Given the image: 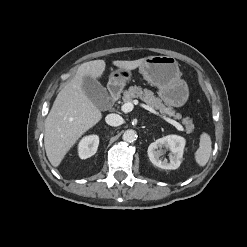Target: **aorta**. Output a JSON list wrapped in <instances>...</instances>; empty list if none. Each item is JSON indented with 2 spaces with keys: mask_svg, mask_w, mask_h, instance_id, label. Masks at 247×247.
I'll return each instance as SVG.
<instances>
[{
  "mask_svg": "<svg viewBox=\"0 0 247 247\" xmlns=\"http://www.w3.org/2000/svg\"><path fill=\"white\" fill-rule=\"evenodd\" d=\"M122 138L125 142L131 143V142H134L136 140L137 134L134 130L129 129V130H126L124 132Z\"/></svg>",
  "mask_w": 247,
  "mask_h": 247,
  "instance_id": "762f6f07",
  "label": "aorta"
}]
</instances>
